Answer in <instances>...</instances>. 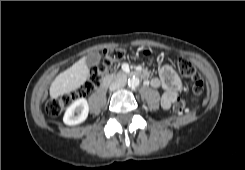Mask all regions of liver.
<instances>
[{"label":"liver","instance_id":"1","mask_svg":"<svg viewBox=\"0 0 245 170\" xmlns=\"http://www.w3.org/2000/svg\"><path fill=\"white\" fill-rule=\"evenodd\" d=\"M90 71L86 65V57H82L70 68L60 73L50 86V96L53 99L69 93L83 85L89 77Z\"/></svg>","mask_w":245,"mask_h":170}]
</instances>
